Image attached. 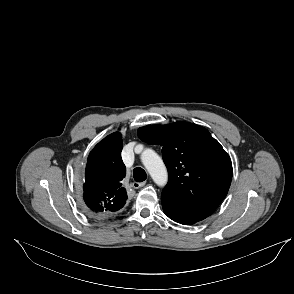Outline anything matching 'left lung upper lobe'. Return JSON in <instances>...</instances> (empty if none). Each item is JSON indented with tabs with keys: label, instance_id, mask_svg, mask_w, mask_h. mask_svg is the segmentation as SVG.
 <instances>
[{
	"label": "left lung upper lobe",
	"instance_id": "1",
	"mask_svg": "<svg viewBox=\"0 0 294 294\" xmlns=\"http://www.w3.org/2000/svg\"><path fill=\"white\" fill-rule=\"evenodd\" d=\"M138 137L162 145L169 181L162 191V204L203 220L226 197L232 180L229 155L202 126L176 122L148 125Z\"/></svg>",
	"mask_w": 294,
	"mask_h": 294
}]
</instances>
